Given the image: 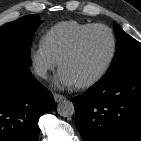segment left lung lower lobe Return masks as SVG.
<instances>
[{
	"mask_svg": "<svg viewBox=\"0 0 141 141\" xmlns=\"http://www.w3.org/2000/svg\"><path fill=\"white\" fill-rule=\"evenodd\" d=\"M72 101L84 141L141 139V68L102 78Z\"/></svg>",
	"mask_w": 141,
	"mask_h": 141,
	"instance_id": "left-lung-lower-lobe-1",
	"label": "left lung lower lobe"
}]
</instances>
